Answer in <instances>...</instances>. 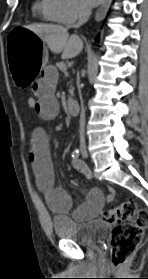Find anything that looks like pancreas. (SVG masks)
Wrapping results in <instances>:
<instances>
[{"mask_svg":"<svg viewBox=\"0 0 148 279\" xmlns=\"http://www.w3.org/2000/svg\"><path fill=\"white\" fill-rule=\"evenodd\" d=\"M56 65H57V67H58L61 71H63L64 73L66 72L67 67H66V65H65L63 62H59V63H57ZM64 68H65V70H63Z\"/></svg>","mask_w":148,"mask_h":279,"instance_id":"obj_1","label":"pancreas"}]
</instances>
